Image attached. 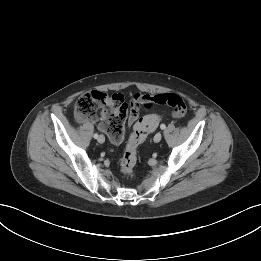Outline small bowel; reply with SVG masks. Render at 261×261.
Instances as JSON below:
<instances>
[{
  "instance_id": "1",
  "label": "small bowel",
  "mask_w": 261,
  "mask_h": 261,
  "mask_svg": "<svg viewBox=\"0 0 261 261\" xmlns=\"http://www.w3.org/2000/svg\"><path fill=\"white\" fill-rule=\"evenodd\" d=\"M116 95L123 99L120 94ZM152 103H154V96L149 94H135L131 101L130 112L127 121L128 126H132L136 123L139 118L141 107H149Z\"/></svg>"
}]
</instances>
